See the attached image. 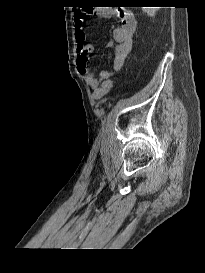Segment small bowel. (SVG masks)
<instances>
[{"label":"small bowel","mask_w":205,"mask_h":273,"mask_svg":"<svg viewBox=\"0 0 205 273\" xmlns=\"http://www.w3.org/2000/svg\"><path fill=\"white\" fill-rule=\"evenodd\" d=\"M117 14L120 25L114 30V42L109 44L114 48L113 68L118 71L123 66L126 58L132 49L133 35L137 28V21L134 14L126 10L115 11L110 8H102L98 10L97 16L100 18H110ZM75 39L77 42V68L83 75L86 83L96 92L99 90L100 84L109 79L113 74L103 70L99 74H93L88 69V58L93 53L94 47L86 42V33L83 29L85 15L81 12H75Z\"/></svg>","instance_id":"1"}]
</instances>
